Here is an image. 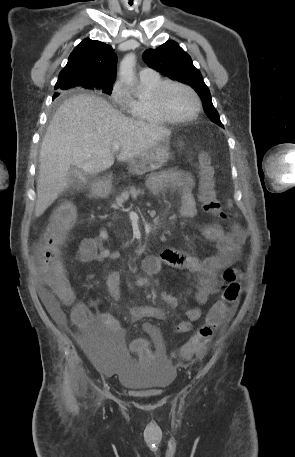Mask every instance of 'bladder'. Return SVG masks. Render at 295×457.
<instances>
[{
	"label": "bladder",
	"instance_id": "obj_1",
	"mask_svg": "<svg viewBox=\"0 0 295 457\" xmlns=\"http://www.w3.org/2000/svg\"><path fill=\"white\" fill-rule=\"evenodd\" d=\"M78 347L81 356H88L100 370L116 374L129 390L156 395L175 377L172 357L163 345L153 346L152 366H132L131 357L120 350L122 338H78Z\"/></svg>",
	"mask_w": 295,
	"mask_h": 457
}]
</instances>
